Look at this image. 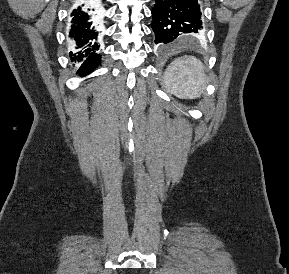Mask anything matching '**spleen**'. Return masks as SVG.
Returning a JSON list of instances; mask_svg holds the SVG:
<instances>
[{"label":"spleen","instance_id":"3e777b00","mask_svg":"<svg viewBox=\"0 0 289 274\" xmlns=\"http://www.w3.org/2000/svg\"><path fill=\"white\" fill-rule=\"evenodd\" d=\"M205 84L204 67L196 57L178 58L166 69L165 85L170 93L179 98L194 99L200 97Z\"/></svg>","mask_w":289,"mask_h":274}]
</instances>
